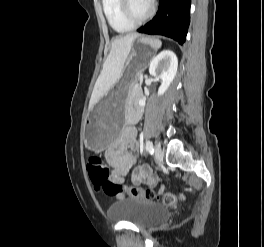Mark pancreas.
I'll use <instances>...</instances> for the list:
<instances>
[{
    "label": "pancreas",
    "mask_w": 264,
    "mask_h": 247,
    "mask_svg": "<svg viewBox=\"0 0 264 247\" xmlns=\"http://www.w3.org/2000/svg\"><path fill=\"white\" fill-rule=\"evenodd\" d=\"M140 92H141L140 86L137 84V82H134L131 88L129 89L130 99L136 103L137 99L139 98Z\"/></svg>",
    "instance_id": "cf45deb5"
}]
</instances>
